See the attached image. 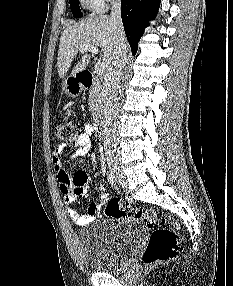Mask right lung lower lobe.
<instances>
[{"mask_svg":"<svg viewBox=\"0 0 233 286\" xmlns=\"http://www.w3.org/2000/svg\"><path fill=\"white\" fill-rule=\"evenodd\" d=\"M159 4L160 0H121L122 22L133 55L148 21L155 18Z\"/></svg>","mask_w":233,"mask_h":286,"instance_id":"98d812e1","label":"right lung lower lobe"}]
</instances>
